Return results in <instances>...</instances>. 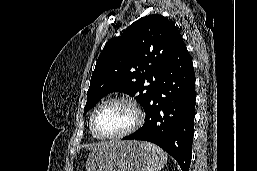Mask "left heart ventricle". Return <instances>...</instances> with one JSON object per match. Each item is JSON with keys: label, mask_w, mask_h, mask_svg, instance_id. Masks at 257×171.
Segmentation results:
<instances>
[{"label": "left heart ventricle", "mask_w": 257, "mask_h": 171, "mask_svg": "<svg viewBox=\"0 0 257 171\" xmlns=\"http://www.w3.org/2000/svg\"><path fill=\"white\" fill-rule=\"evenodd\" d=\"M135 119L134 111L127 104H112L99 113L96 127L101 134L115 135L129 129Z\"/></svg>", "instance_id": "1"}]
</instances>
